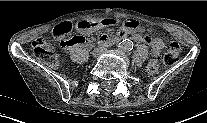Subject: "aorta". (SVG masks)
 <instances>
[{
	"label": "aorta",
	"mask_w": 207,
	"mask_h": 123,
	"mask_svg": "<svg viewBox=\"0 0 207 123\" xmlns=\"http://www.w3.org/2000/svg\"><path fill=\"white\" fill-rule=\"evenodd\" d=\"M133 48V42L129 39H125L119 43V49L122 51H129Z\"/></svg>",
	"instance_id": "obj_1"
}]
</instances>
